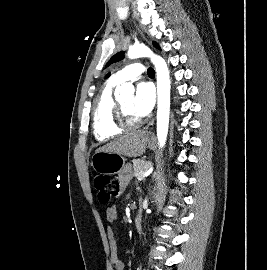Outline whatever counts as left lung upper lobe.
I'll use <instances>...</instances> for the list:
<instances>
[{
	"label": "left lung upper lobe",
	"instance_id": "1",
	"mask_svg": "<svg viewBox=\"0 0 267 270\" xmlns=\"http://www.w3.org/2000/svg\"><path fill=\"white\" fill-rule=\"evenodd\" d=\"M154 46H155L156 48L159 49V46H158L157 43H154ZM123 58H124V52H123V51L116 53V54L108 61L106 67L109 66L110 64L114 63V62H117V61L122 60Z\"/></svg>",
	"mask_w": 267,
	"mask_h": 270
}]
</instances>
